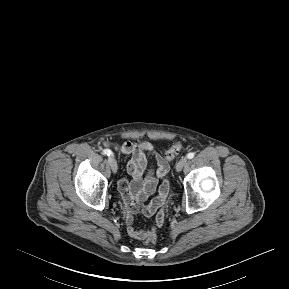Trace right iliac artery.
Instances as JSON below:
<instances>
[{
    "mask_svg": "<svg viewBox=\"0 0 289 289\" xmlns=\"http://www.w3.org/2000/svg\"><path fill=\"white\" fill-rule=\"evenodd\" d=\"M103 154H104V155H107V156H113L112 151L109 150V149H104V150H103Z\"/></svg>",
    "mask_w": 289,
    "mask_h": 289,
    "instance_id": "82829eb1",
    "label": "right iliac artery"
}]
</instances>
